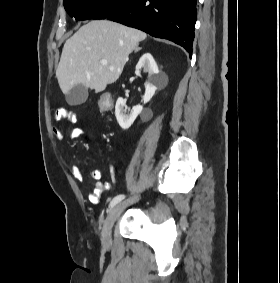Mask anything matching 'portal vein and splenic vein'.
Returning a JSON list of instances; mask_svg holds the SVG:
<instances>
[{"mask_svg":"<svg viewBox=\"0 0 280 283\" xmlns=\"http://www.w3.org/2000/svg\"><path fill=\"white\" fill-rule=\"evenodd\" d=\"M100 62H101V64H103V65H107V63H108L107 60H101Z\"/></svg>","mask_w":280,"mask_h":283,"instance_id":"18ae733b","label":"portal vein and splenic vein"}]
</instances>
